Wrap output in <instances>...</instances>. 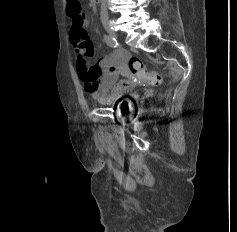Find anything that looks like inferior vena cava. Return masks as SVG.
<instances>
[{
    "instance_id": "602c4592",
    "label": "inferior vena cava",
    "mask_w": 237,
    "mask_h": 232,
    "mask_svg": "<svg viewBox=\"0 0 237 232\" xmlns=\"http://www.w3.org/2000/svg\"><path fill=\"white\" fill-rule=\"evenodd\" d=\"M101 1V20L107 21L108 20V10H107V3L106 0H100Z\"/></svg>"
}]
</instances>
